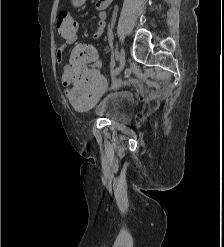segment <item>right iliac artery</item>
<instances>
[{
    "label": "right iliac artery",
    "instance_id": "1",
    "mask_svg": "<svg viewBox=\"0 0 224 247\" xmlns=\"http://www.w3.org/2000/svg\"><path fill=\"white\" fill-rule=\"evenodd\" d=\"M118 73H119V69H118V68L114 69V70L111 72V74H112L113 76L117 75Z\"/></svg>",
    "mask_w": 224,
    "mask_h": 247
}]
</instances>
